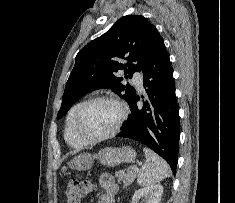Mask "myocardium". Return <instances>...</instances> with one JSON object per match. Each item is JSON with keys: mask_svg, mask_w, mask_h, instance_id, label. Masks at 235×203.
Here are the masks:
<instances>
[{"mask_svg": "<svg viewBox=\"0 0 235 203\" xmlns=\"http://www.w3.org/2000/svg\"><path fill=\"white\" fill-rule=\"evenodd\" d=\"M99 101H109L112 103H115L116 105H118V107L120 108V117L115 125V127L108 133L101 135V136H97V137H90L85 135L81 130H80V120L81 117L84 113V111L93 103L95 102H99ZM129 114V110L128 107L126 105V103L124 101H122L121 99L114 97V96H110V95H98V96H94L92 98H89L87 100H85L80 107L78 108L75 117H74V122H73V129L75 134L84 142L86 143H98L104 140H107L109 138L114 137L117 133H119V131L121 130L122 126L124 125L127 117Z\"/></svg>", "mask_w": 235, "mask_h": 203, "instance_id": "myocardium-1", "label": "myocardium"}]
</instances>
